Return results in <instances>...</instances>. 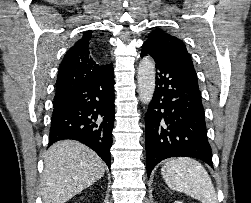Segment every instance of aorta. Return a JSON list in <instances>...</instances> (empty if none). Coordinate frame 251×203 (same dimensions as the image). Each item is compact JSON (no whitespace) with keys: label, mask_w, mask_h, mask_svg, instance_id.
<instances>
[{"label":"aorta","mask_w":251,"mask_h":203,"mask_svg":"<svg viewBox=\"0 0 251 203\" xmlns=\"http://www.w3.org/2000/svg\"><path fill=\"white\" fill-rule=\"evenodd\" d=\"M138 93L141 102L148 105L155 91V63L150 57H144L138 67Z\"/></svg>","instance_id":"762f6f07"}]
</instances>
